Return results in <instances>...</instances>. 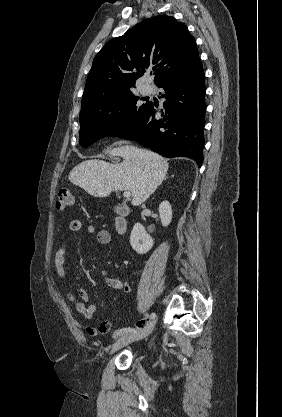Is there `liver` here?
<instances>
[{"label":"liver","mask_w":282,"mask_h":417,"mask_svg":"<svg viewBox=\"0 0 282 417\" xmlns=\"http://www.w3.org/2000/svg\"><path fill=\"white\" fill-rule=\"evenodd\" d=\"M108 152L112 156H122L123 162L111 164L99 158L83 160L70 170V182L81 186L92 196H109L113 190H130L132 204L139 206L162 184L167 174V158L152 150L124 144Z\"/></svg>","instance_id":"obj_1"}]
</instances>
